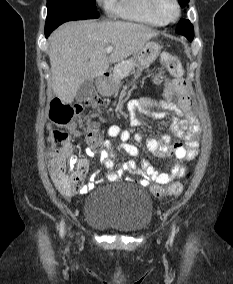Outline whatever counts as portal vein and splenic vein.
<instances>
[{"mask_svg": "<svg viewBox=\"0 0 233 284\" xmlns=\"http://www.w3.org/2000/svg\"><path fill=\"white\" fill-rule=\"evenodd\" d=\"M114 47L113 46H107L106 51L107 53H111L113 51Z\"/></svg>", "mask_w": 233, "mask_h": 284, "instance_id": "obj_1", "label": "portal vein and splenic vein"}]
</instances>
